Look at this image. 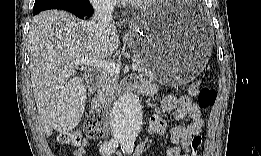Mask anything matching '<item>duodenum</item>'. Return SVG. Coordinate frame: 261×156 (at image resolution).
Here are the masks:
<instances>
[{"label": "duodenum", "instance_id": "410a0bca", "mask_svg": "<svg viewBox=\"0 0 261 156\" xmlns=\"http://www.w3.org/2000/svg\"><path fill=\"white\" fill-rule=\"evenodd\" d=\"M87 76H88V79L92 83H97L101 78V73L98 69H89L87 71ZM123 85L128 89L134 87V85L130 81L125 82ZM112 104H113L112 99H108V100L97 99L94 101V105L96 108H98V107L99 108H110L112 106Z\"/></svg>", "mask_w": 261, "mask_h": 156}]
</instances>
